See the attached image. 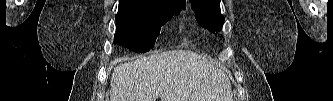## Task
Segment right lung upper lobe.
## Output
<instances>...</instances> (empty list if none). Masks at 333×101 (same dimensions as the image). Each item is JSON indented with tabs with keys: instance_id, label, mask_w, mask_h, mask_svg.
<instances>
[{
	"instance_id": "obj_1",
	"label": "right lung upper lobe",
	"mask_w": 333,
	"mask_h": 101,
	"mask_svg": "<svg viewBox=\"0 0 333 101\" xmlns=\"http://www.w3.org/2000/svg\"><path fill=\"white\" fill-rule=\"evenodd\" d=\"M170 1H177V2H181V3H186V0H170Z\"/></svg>"
}]
</instances>
